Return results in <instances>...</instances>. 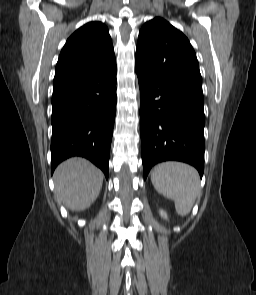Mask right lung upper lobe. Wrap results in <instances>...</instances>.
<instances>
[{"label":"right lung upper lobe","instance_id":"1","mask_svg":"<svg viewBox=\"0 0 256 295\" xmlns=\"http://www.w3.org/2000/svg\"><path fill=\"white\" fill-rule=\"evenodd\" d=\"M115 64L107 27L98 21L89 22L75 31L64 45L56 65L53 85Z\"/></svg>","mask_w":256,"mask_h":295}]
</instances>
